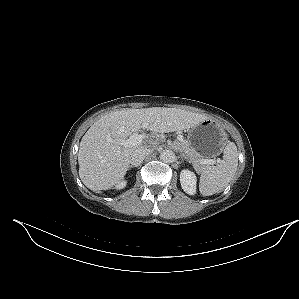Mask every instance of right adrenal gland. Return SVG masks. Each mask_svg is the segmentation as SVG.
I'll use <instances>...</instances> for the list:
<instances>
[{
    "label": "right adrenal gland",
    "instance_id": "2a0ac1e0",
    "mask_svg": "<svg viewBox=\"0 0 299 299\" xmlns=\"http://www.w3.org/2000/svg\"><path fill=\"white\" fill-rule=\"evenodd\" d=\"M133 168V166H129V169Z\"/></svg>",
    "mask_w": 299,
    "mask_h": 299
}]
</instances>
